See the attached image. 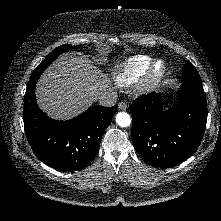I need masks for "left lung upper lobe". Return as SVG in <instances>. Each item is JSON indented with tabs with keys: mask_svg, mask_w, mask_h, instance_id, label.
Instances as JSON below:
<instances>
[{
	"mask_svg": "<svg viewBox=\"0 0 221 221\" xmlns=\"http://www.w3.org/2000/svg\"><path fill=\"white\" fill-rule=\"evenodd\" d=\"M181 87H189L197 90H203L201 79L194 66L187 61L185 63Z\"/></svg>",
	"mask_w": 221,
	"mask_h": 221,
	"instance_id": "obj_1",
	"label": "left lung upper lobe"
}]
</instances>
